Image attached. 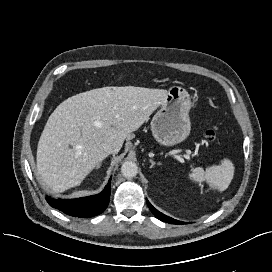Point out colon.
<instances>
[{"mask_svg":"<svg viewBox=\"0 0 272 272\" xmlns=\"http://www.w3.org/2000/svg\"><path fill=\"white\" fill-rule=\"evenodd\" d=\"M204 138L208 142H213L216 139V130L214 127H208L204 132Z\"/></svg>","mask_w":272,"mask_h":272,"instance_id":"colon-1","label":"colon"}]
</instances>
